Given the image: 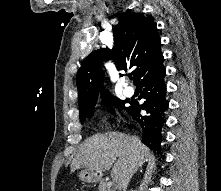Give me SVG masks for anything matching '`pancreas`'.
Returning a JSON list of instances; mask_svg holds the SVG:
<instances>
[{"instance_id":"obj_1","label":"pancreas","mask_w":221,"mask_h":191,"mask_svg":"<svg viewBox=\"0 0 221 191\" xmlns=\"http://www.w3.org/2000/svg\"><path fill=\"white\" fill-rule=\"evenodd\" d=\"M99 191H116L108 182L101 180L98 186Z\"/></svg>"}]
</instances>
